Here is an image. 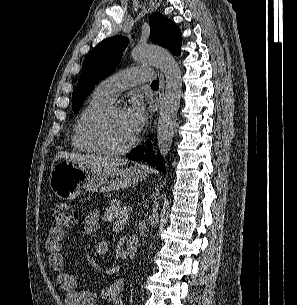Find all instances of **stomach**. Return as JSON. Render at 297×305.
<instances>
[{
	"label": "stomach",
	"mask_w": 297,
	"mask_h": 305,
	"mask_svg": "<svg viewBox=\"0 0 297 305\" xmlns=\"http://www.w3.org/2000/svg\"><path fill=\"white\" fill-rule=\"evenodd\" d=\"M146 179V171L137 166L104 168L63 160L53 166L49 184L58 198L70 201L82 190L106 193L128 188Z\"/></svg>",
	"instance_id": "stomach-1"
}]
</instances>
